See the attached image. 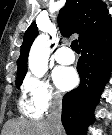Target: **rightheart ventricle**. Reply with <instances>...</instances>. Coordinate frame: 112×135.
Here are the masks:
<instances>
[{
	"instance_id": "1",
	"label": "right heart ventricle",
	"mask_w": 112,
	"mask_h": 135,
	"mask_svg": "<svg viewBox=\"0 0 112 135\" xmlns=\"http://www.w3.org/2000/svg\"><path fill=\"white\" fill-rule=\"evenodd\" d=\"M19 109L23 115L30 118H39L41 116V114L31 106L25 96H22L19 100Z\"/></svg>"
}]
</instances>
